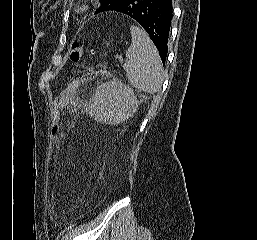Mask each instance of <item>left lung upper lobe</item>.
I'll list each match as a JSON object with an SVG mask.
<instances>
[{
	"mask_svg": "<svg viewBox=\"0 0 257 240\" xmlns=\"http://www.w3.org/2000/svg\"><path fill=\"white\" fill-rule=\"evenodd\" d=\"M122 1L123 0H100L101 6L97 9L95 13L97 14V13L109 11L110 9L118 6Z\"/></svg>",
	"mask_w": 257,
	"mask_h": 240,
	"instance_id": "5c2ea615",
	"label": "left lung upper lobe"
}]
</instances>
